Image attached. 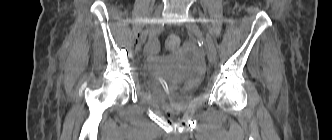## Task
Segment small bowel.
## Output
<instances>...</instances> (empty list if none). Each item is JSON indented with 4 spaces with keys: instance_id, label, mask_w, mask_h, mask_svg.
Segmentation results:
<instances>
[{
    "instance_id": "1",
    "label": "small bowel",
    "mask_w": 332,
    "mask_h": 140,
    "mask_svg": "<svg viewBox=\"0 0 332 140\" xmlns=\"http://www.w3.org/2000/svg\"><path fill=\"white\" fill-rule=\"evenodd\" d=\"M147 52L150 56V58H154L155 55L158 52V42L157 41H152L149 47L147 48Z\"/></svg>"
}]
</instances>
